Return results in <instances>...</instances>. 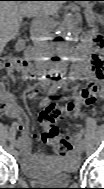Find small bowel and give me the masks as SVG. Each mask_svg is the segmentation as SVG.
Returning <instances> with one entry per match:
<instances>
[{
  "instance_id": "obj_1",
  "label": "small bowel",
  "mask_w": 104,
  "mask_h": 189,
  "mask_svg": "<svg viewBox=\"0 0 104 189\" xmlns=\"http://www.w3.org/2000/svg\"><path fill=\"white\" fill-rule=\"evenodd\" d=\"M6 71V80L14 82L15 81V72L19 71L21 73V79L24 82L31 81L35 78L33 72L29 69L25 62H22L17 65H10L5 68ZM92 73V64L88 60L81 61L73 70L72 78L74 80L86 79V85L81 89H76L75 93V102L77 104H86L92 105L102 97V88L97 84L95 79L91 77ZM0 93L6 100V107L3 110L4 115L12 120L21 132L22 137V148L21 155L23 163L29 167L33 168L34 164L43 160L45 158L44 154H34L30 148V128L28 123L25 121L23 113L20 107L16 104L13 95L9 92L6 87V84H2L0 87ZM76 140V136H74ZM77 136V140H78ZM77 153L68 159L70 162L74 163L77 160Z\"/></svg>"
}]
</instances>
